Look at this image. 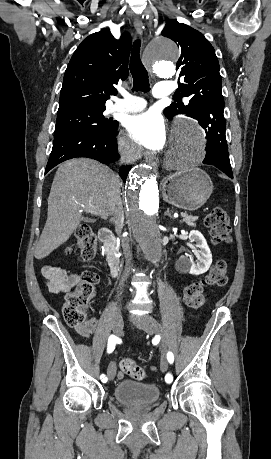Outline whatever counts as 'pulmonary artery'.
Returning <instances> with one entry per match:
<instances>
[{
	"instance_id": "obj_1",
	"label": "pulmonary artery",
	"mask_w": 271,
	"mask_h": 459,
	"mask_svg": "<svg viewBox=\"0 0 271 459\" xmlns=\"http://www.w3.org/2000/svg\"><path fill=\"white\" fill-rule=\"evenodd\" d=\"M172 84L166 83L165 81H158L156 83V89L154 91L155 98H167L170 95ZM123 96L122 99L115 100L111 106L107 109L110 114H128L137 113L146 108L148 101H143L141 97H137L121 91Z\"/></svg>"
}]
</instances>
